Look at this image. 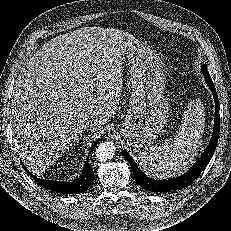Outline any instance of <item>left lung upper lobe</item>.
I'll use <instances>...</instances> for the list:
<instances>
[{
  "mask_svg": "<svg viewBox=\"0 0 231 231\" xmlns=\"http://www.w3.org/2000/svg\"><path fill=\"white\" fill-rule=\"evenodd\" d=\"M201 70H202L203 75H209V73H208V71H207V65H206V64H204V65L202 66ZM209 76H210V75H209Z\"/></svg>",
  "mask_w": 231,
  "mask_h": 231,
  "instance_id": "left-lung-upper-lobe-1",
  "label": "left lung upper lobe"
}]
</instances>
